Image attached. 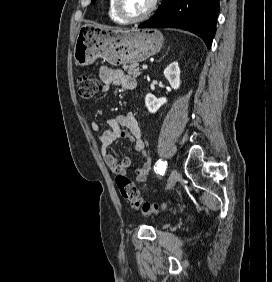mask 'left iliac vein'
<instances>
[{
  "label": "left iliac vein",
  "mask_w": 272,
  "mask_h": 282,
  "mask_svg": "<svg viewBox=\"0 0 272 282\" xmlns=\"http://www.w3.org/2000/svg\"><path fill=\"white\" fill-rule=\"evenodd\" d=\"M178 178H179V174H178L177 170L172 169L171 172H170L168 181H167L166 188H168V189L172 188L176 184Z\"/></svg>",
  "instance_id": "4c4485c4"
}]
</instances>
